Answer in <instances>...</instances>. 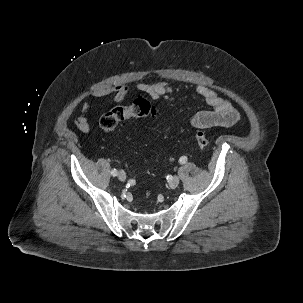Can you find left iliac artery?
I'll use <instances>...</instances> for the list:
<instances>
[{
    "label": "left iliac artery",
    "instance_id": "1",
    "mask_svg": "<svg viewBox=\"0 0 303 303\" xmlns=\"http://www.w3.org/2000/svg\"><path fill=\"white\" fill-rule=\"evenodd\" d=\"M187 162V157L186 156H182L180 159H179V163L180 164H185Z\"/></svg>",
    "mask_w": 303,
    "mask_h": 303
}]
</instances>
